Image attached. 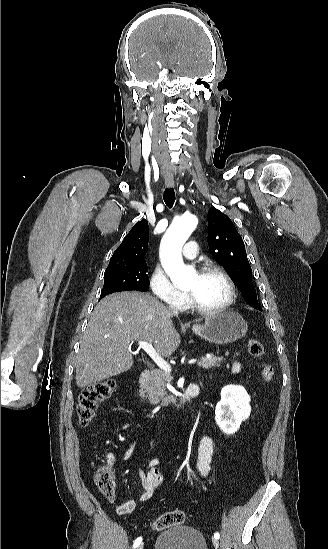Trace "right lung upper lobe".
I'll return each instance as SVG.
<instances>
[{
    "label": "right lung upper lobe",
    "instance_id": "cb5924a9",
    "mask_svg": "<svg viewBox=\"0 0 328 549\" xmlns=\"http://www.w3.org/2000/svg\"><path fill=\"white\" fill-rule=\"evenodd\" d=\"M148 240V222L147 220H141L133 226L123 242L115 250L106 270H112L131 263L145 261L144 256L148 246Z\"/></svg>",
    "mask_w": 328,
    "mask_h": 549
}]
</instances>
